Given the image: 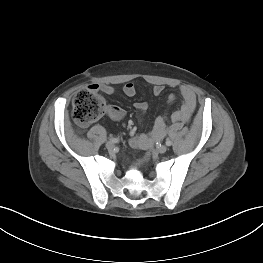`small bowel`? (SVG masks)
I'll return each mask as SVG.
<instances>
[{
	"label": "small bowel",
	"mask_w": 263,
	"mask_h": 263,
	"mask_svg": "<svg viewBox=\"0 0 263 263\" xmlns=\"http://www.w3.org/2000/svg\"><path fill=\"white\" fill-rule=\"evenodd\" d=\"M91 88L100 90L107 95H111L114 93V88L108 84L92 85ZM163 91L164 87L162 85H156L153 87V94L155 96H160ZM123 92L126 96L133 97L136 94V87L134 83L129 82L125 84L123 87ZM179 94L182 98V105L171 116L174 122H184L189 120L196 107V96L190 88L181 86L179 88ZM174 99V94H171L168 98L169 102H172ZM134 107L138 111L139 115H143L148 108V104L146 102H136L134 104ZM106 111L109 118L114 121L121 120L125 114L124 110L116 105H109ZM165 131V119L163 117H158L150 134L133 135L129 140V144L133 148L143 149L147 147L151 139L162 137L165 134Z\"/></svg>",
	"instance_id": "1"
}]
</instances>
